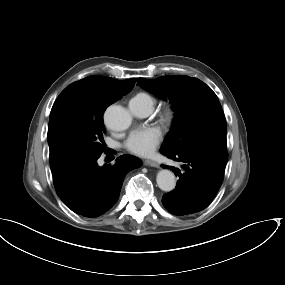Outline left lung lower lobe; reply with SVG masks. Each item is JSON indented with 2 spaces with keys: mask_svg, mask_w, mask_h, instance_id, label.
I'll list each match as a JSON object with an SVG mask.
<instances>
[{
  "mask_svg": "<svg viewBox=\"0 0 285 285\" xmlns=\"http://www.w3.org/2000/svg\"><path fill=\"white\" fill-rule=\"evenodd\" d=\"M161 153L183 163L181 172L175 167L165 166L175 170L179 180L175 189L163 196L164 207L177 216L190 215L206 208L223 182L228 159L226 150L197 147L175 153Z\"/></svg>",
  "mask_w": 285,
  "mask_h": 285,
  "instance_id": "obj_1",
  "label": "left lung lower lobe"
}]
</instances>
